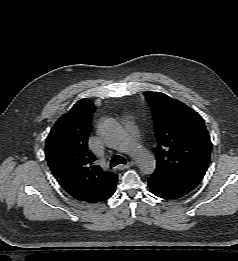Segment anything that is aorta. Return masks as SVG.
Instances as JSON below:
<instances>
[{
  "label": "aorta",
  "mask_w": 238,
  "mask_h": 261,
  "mask_svg": "<svg viewBox=\"0 0 238 261\" xmlns=\"http://www.w3.org/2000/svg\"><path fill=\"white\" fill-rule=\"evenodd\" d=\"M102 134L116 148L129 154L143 174L150 175L154 172L155 157L147 149L132 144L123 129L113 119L103 121Z\"/></svg>",
  "instance_id": "obj_1"
}]
</instances>
